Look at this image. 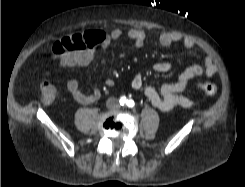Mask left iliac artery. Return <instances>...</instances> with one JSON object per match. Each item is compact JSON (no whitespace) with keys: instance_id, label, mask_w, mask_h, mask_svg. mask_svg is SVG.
Returning <instances> with one entry per match:
<instances>
[{"instance_id":"obj_1","label":"left iliac artery","mask_w":245,"mask_h":187,"mask_svg":"<svg viewBox=\"0 0 245 187\" xmlns=\"http://www.w3.org/2000/svg\"><path fill=\"white\" fill-rule=\"evenodd\" d=\"M127 106L129 107V108H132V107H134V105H135V103H134V101L132 100V99H130V100H127Z\"/></svg>"}]
</instances>
